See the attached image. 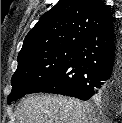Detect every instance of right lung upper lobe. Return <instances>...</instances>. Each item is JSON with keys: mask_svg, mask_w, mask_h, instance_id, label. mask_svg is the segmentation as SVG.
<instances>
[{"mask_svg": "<svg viewBox=\"0 0 122 123\" xmlns=\"http://www.w3.org/2000/svg\"><path fill=\"white\" fill-rule=\"evenodd\" d=\"M112 19L101 0H59L29 31L18 60L55 50L77 49Z\"/></svg>", "mask_w": 122, "mask_h": 123, "instance_id": "1", "label": "right lung upper lobe"}]
</instances>
